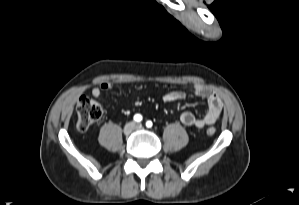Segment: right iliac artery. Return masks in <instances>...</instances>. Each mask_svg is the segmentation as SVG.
Masks as SVG:
<instances>
[{
	"label": "right iliac artery",
	"instance_id": "right-iliac-artery-1",
	"mask_svg": "<svg viewBox=\"0 0 299 205\" xmlns=\"http://www.w3.org/2000/svg\"><path fill=\"white\" fill-rule=\"evenodd\" d=\"M134 120H135L136 122H140V121L142 120V116H141L140 114H136V115L134 116Z\"/></svg>",
	"mask_w": 299,
	"mask_h": 205
}]
</instances>
